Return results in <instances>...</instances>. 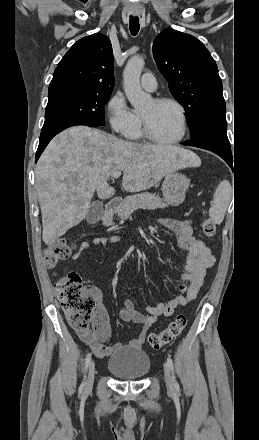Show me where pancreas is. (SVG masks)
<instances>
[{"mask_svg":"<svg viewBox=\"0 0 259 440\" xmlns=\"http://www.w3.org/2000/svg\"><path fill=\"white\" fill-rule=\"evenodd\" d=\"M167 206L168 204L159 195L145 192L126 197L120 202L116 213L121 218H128L136 209L155 210L158 208L163 209ZM113 216V212L109 213L104 220V225H114Z\"/></svg>","mask_w":259,"mask_h":440,"instance_id":"1","label":"pancreas"}]
</instances>
